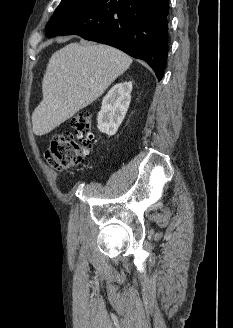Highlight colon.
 <instances>
[{
	"label": "colon",
	"mask_w": 233,
	"mask_h": 328,
	"mask_svg": "<svg viewBox=\"0 0 233 328\" xmlns=\"http://www.w3.org/2000/svg\"><path fill=\"white\" fill-rule=\"evenodd\" d=\"M74 134L67 131L56 133L44 153L48 165L55 169H67L87 158L94 145L92 118L89 112L81 111L71 119Z\"/></svg>",
	"instance_id": "1"
}]
</instances>
